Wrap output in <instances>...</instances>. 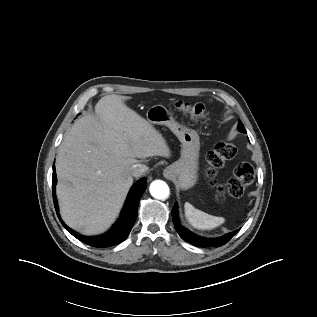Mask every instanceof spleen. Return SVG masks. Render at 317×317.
<instances>
[{
    "label": "spleen",
    "instance_id": "1",
    "mask_svg": "<svg viewBox=\"0 0 317 317\" xmlns=\"http://www.w3.org/2000/svg\"><path fill=\"white\" fill-rule=\"evenodd\" d=\"M184 210L188 222L191 226L199 230H212L225 222V218L207 214L196 209L189 202L185 203Z\"/></svg>",
    "mask_w": 317,
    "mask_h": 317
}]
</instances>
